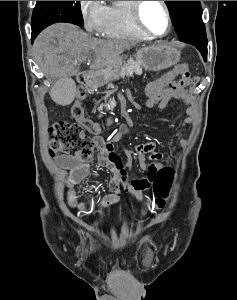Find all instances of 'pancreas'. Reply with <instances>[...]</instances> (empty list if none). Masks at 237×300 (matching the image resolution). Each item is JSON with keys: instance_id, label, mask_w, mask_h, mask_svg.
Masks as SVG:
<instances>
[{"instance_id": "cf45deb5", "label": "pancreas", "mask_w": 237, "mask_h": 300, "mask_svg": "<svg viewBox=\"0 0 237 300\" xmlns=\"http://www.w3.org/2000/svg\"><path fill=\"white\" fill-rule=\"evenodd\" d=\"M131 73H140V75L142 73L140 63H137L134 59H128L124 67H121L119 75L124 79V77H131ZM111 81H114V79H111ZM109 87H112V83H108L107 89H109ZM104 107L106 111H113L114 107H116L115 99H109L107 105H104Z\"/></svg>"}]
</instances>
